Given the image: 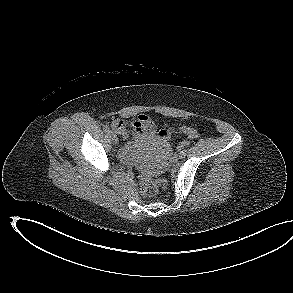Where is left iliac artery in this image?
Returning a JSON list of instances; mask_svg holds the SVG:
<instances>
[{"mask_svg":"<svg viewBox=\"0 0 293 293\" xmlns=\"http://www.w3.org/2000/svg\"><path fill=\"white\" fill-rule=\"evenodd\" d=\"M188 145H189V142H188V141H183V142L181 143V146H180V147H181L182 149L185 150V149L188 147ZM185 151H186V150H185Z\"/></svg>","mask_w":293,"mask_h":293,"instance_id":"obj_1","label":"left iliac artery"}]
</instances>
